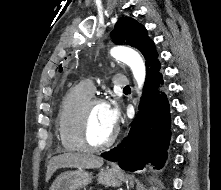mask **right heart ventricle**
Wrapping results in <instances>:
<instances>
[{"label":"right heart ventricle","mask_w":221,"mask_h":190,"mask_svg":"<svg viewBox=\"0 0 221 190\" xmlns=\"http://www.w3.org/2000/svg\"><path fill=\"white\" fill-rule=\"evenodd\" d=\"M92 97L84 86L69 90L57 114V133L62 148L67 152L82 151L76 137V120L82 105Z\"/></svg>","instance_id":"right-heart-ventricle-1"}]
</instances>
